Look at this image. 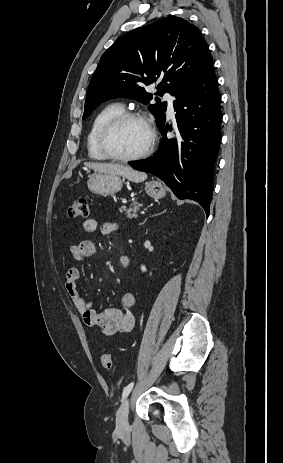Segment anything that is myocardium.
<instances>
[{
  "label": "myocardium",
  "mask_w": 283,
  "mask_h": 463,
  "mask_svg": "<svg viewBox=\"0 0 283 463\" xmlns=\"http://www.w3.org/2000/svg\"><path fill=\"white\" fill-rule=\"evenodd\" d=\"M128 120H139L148 129L150 139L147 147L140 153L133 156H121L116 154L110 147V137L112 133L124 122ZM157 142V132L153 122L144 114L137 111H123L111 118L101 129L99 134V147L103 154L113 161L129 163L142 160L148 157L154 150Z\"/></svg>",
  "instance_id": "1"
}]
</instances>
